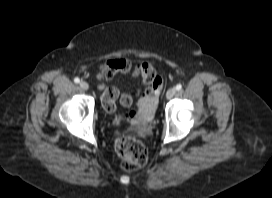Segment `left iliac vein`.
<instances>
[{"label":"left iliac vein","instance_id":"4c4485c4","mask_svg":"<svg viewBox=\"0 0 272 198\" xmlns=\"http://www.w3.org/2000/svg\"><path fill=\"white\" fill-rule=\"evenodd\" d=\"M176 93V88L172 87L170 89H168L167 93H166V98L167 99H171Z\"/></svg>","mask_w":272,"mask_h":198}]
</instances>
